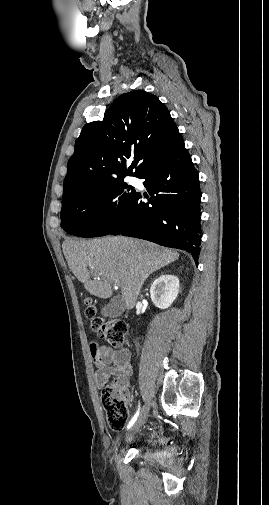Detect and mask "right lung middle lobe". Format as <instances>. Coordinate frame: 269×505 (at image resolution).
I'll list each match as a JSON object with an SVG mask.
<instances>
[{
  "label": "right lung middle lobe",
  "instance_id": "obj_1",
  "mask_svg": "<svg viewBox=\"0 0 269 505\" xmlns=\"http://www.w3.org/2000/svg\"><path fill=\"white\" fill-rule=\"evenodd\" d=\"M136 194L124 179L85 189L62 202L61 227L79 237L108 235L120 223Z\"/></svg>",
  "mask_w": 269,
  "mask_h": 505
}]
</instances>
